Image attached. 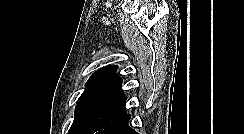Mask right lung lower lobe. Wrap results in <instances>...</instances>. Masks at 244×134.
Segmentation results:
<instances>
[{
  "mask_svg": "<svg viewBox=\"0 0 244 134\" xmlns=\"http://www.w3.org/2000/svg\"><path fill=\"white\" fill-rule=\"evenodd\" d=\"M129 119L130 115L126 112L118 124L108 134H137L132 128L129 127Z\"/></svg>",
  "mask_w": 244,
  "mask_h": 134,
  "instance_id": "right-lung-lower-lobe-1",
  "label": "right lung lower lobe"
}]
</instances>
